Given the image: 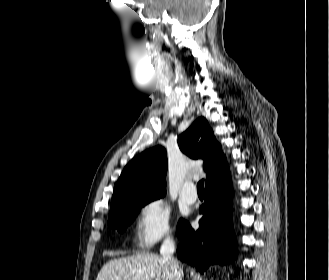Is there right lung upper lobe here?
<instances>
[{"instance_id": "cb5924a9", "label": "right lung upper lobe", "mask_w": 329, "mask_h": 280, "mask_svg": "<svg viewBox=\"0 0 329 280\" xmlns=\"http://www.w3.org/2000/svg\"><path fill=\"white\" fill-rule=\"evenodd\" d=\"M179 148L192 159H203L206 183L228 168L220 144L204 117L198 118L178 140ZM167 171L166 151L161 146L146 150L133 158L118 179L110 212L127 201L163 196Z\"/></svg>"}]
</instances>
